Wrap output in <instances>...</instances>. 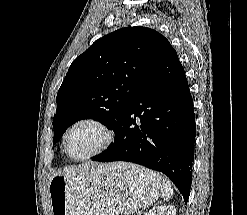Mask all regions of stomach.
I'll list each match as a JSON object with an SVG mask.
<instances>
[{
  "mask_svg": "<svg viewBox=\"0 0 247 215\" xmlns=\"http://www.w3.org/2000/svg\"><path fill=\"white\" fill-rule=\"evenodd\" d=\"M161 187L156 172L122 162L57 175L48 188L51 215H130L155 202Z\"/></svg>",
  "mask_w": 247,
  "mask_h": 215,
  "instance_id": "1",
  "label": "stomach"
}]
</instances>
